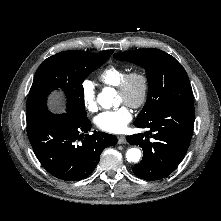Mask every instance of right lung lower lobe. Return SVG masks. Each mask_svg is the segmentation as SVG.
Here are the masks:
<instances>
[{
  "label": "right lung lower lobe",
  "mask_w": 221,
  "mask_h": 221,
  "mask_svg": "<svg viewBox=\"0 0 221 221\" xmlns=\"http://www.w3.org/2000/svg\"><path fill=\"white\" fill-rule=\"evenodd\" d=\"M27 134L42 166L54 177L79 181L89 176L104 148L117 137L104 132L84 135L91 129L87 116L74 112L53 114L47 107L27 111Z\"/></svg>",
  "instance_id": "1"
}]
</instances>
